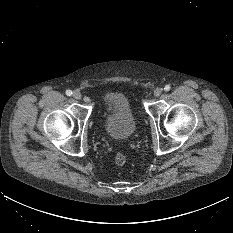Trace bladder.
I'll use <instances>...</instances> for the list:
<instances>
[{"instance_id": "31cf9c89", "label": "bladder", "mask_w": 233, "mask_h": 233, "mask_svg": "<svg viewBox=\"0 0 233 233\" xmlns=\"http://www.w3.org/2000/svg\"><path fill=\"white\" fill-rule=\"evenodd\" d=\"M103 129L114 140H128L136 133V120L128 98L121 92L109 93L104 100Z\"/></svg>"}]
</instances>
